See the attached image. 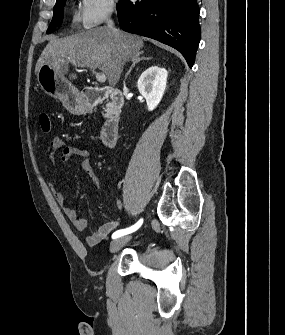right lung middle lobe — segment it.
<instances>
[{
    "mask_svg": "<svg viewBox=\"0 0 285 335\" xmlns=\"http://www.w3.org/2000/svg\"><path fill=\"white\" fill-rule=\"evenodd\" d=\"M65 2L66 0H63L62 2L54 6V16L47 30V34L52 33L56 27L61 25L62 20H63V11H64Z\"/></svg>",
    "mask_w": 285,
    "mask_h": 335,
    "instance_id": "1",
    "label": "right lung middle lobe"
}]
</instances>
